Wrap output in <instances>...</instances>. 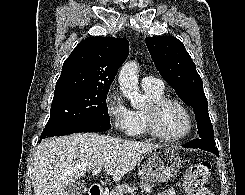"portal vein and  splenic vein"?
Returning a JSON list of instances; mask_svg holds the SVG:
<instances>
[{"instance_id":"obj_1","label":"portal vein and splenic vein","mask_w":245,"mask_h":195,"mask_svg":"<svg viewBox=\"0 0 245 195\" xmlns=\"http://www.w3.org/2000/svg\"><path fill=\"white\" fill-rule=\"evenodd\" d=\"M100 171H101V166H99V167L93 169L92 175H97Z\"/></svg>"}]
</instances>
